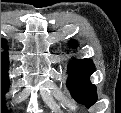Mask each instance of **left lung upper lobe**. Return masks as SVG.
Masks as SVG:
<instances>
[{
	"instance_id": "obj_1",
	"label": "left lung upper lobe",
	"mask_w": 121,
	"mask_h": 113,
	"mask_svg": "<svg viewBox=\"0 0 121 113\" xmlns=\"http://www.w3.org/2000/svg\"><path fill=\"white\" fill-rule=\"evenodd\" d=\"M71 43L76 45L75 41ZM94 70V64L90 59L73 60L68 68L67 86L75 100L86 107L92 106L97 101L96 87L89 80Z\"/></svg>"
}]
</instances>
